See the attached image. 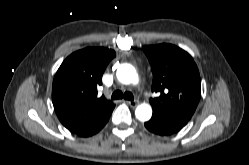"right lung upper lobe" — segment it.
Segmentation results:
<instances>
[{"mask_svg":"<svg viewBox=\"0 0 249 165\" xmlns=\"http://www.w3.org/2000/svg\"><path fill=\"white\" fill-rule=\"evenodd\" d=\"M116 56L112 49L88 47L68 56L52 86V101L60 122L71 132L87 130L106 118L114 104L97 97L102 75Z\"/></svg>","mask_w":249,"mask_h":165,"instance_id":"obj_1","label":"right lung upper lobe"}]
</instances>
